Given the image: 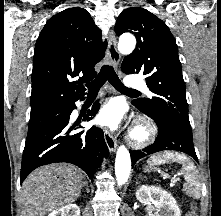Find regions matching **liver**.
<instances>
[{
    "mask_svg": "<svg viewBox=\"0 0 221 216\" xmlns=\"http://www.w3.org/2000/svg\"><path fill=\"white\" fill-rule=\"evenodd\" d=\"M84 186V176L77 167L54 163L34 170L23 182V216H45L77 200Z\"/></svg>",
    "mask_w": 221,
    "mask_h": 216,
    "instance_id": "6515ba94",
    "label": "liver"
}]
</instances>
